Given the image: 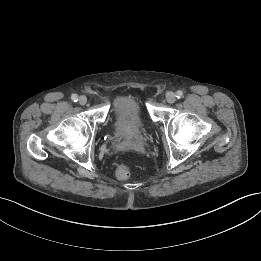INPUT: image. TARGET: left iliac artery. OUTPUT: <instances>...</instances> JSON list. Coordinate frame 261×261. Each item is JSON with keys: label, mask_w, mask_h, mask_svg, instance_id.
I'll use <instances>...</instances> for the list:
<instances>
[{"label": "left iliac artery", "mask_w": 261, "mask_h": 261, "mask_svg": "<svg viewBox=\"0 0 261 261\" xmlns=\"http://www.w3.org/2000/svg\"><path fill=\"white\" fill-rule=\"evenodd\" d=\"M176 97L178 98V99H180V98H182L183 97V92L182 91H177L176 92Z\"/></svg>", "instance_id": "1"}]
</instances>
